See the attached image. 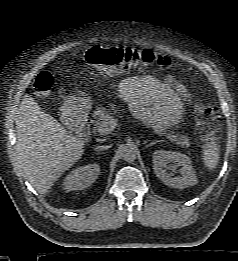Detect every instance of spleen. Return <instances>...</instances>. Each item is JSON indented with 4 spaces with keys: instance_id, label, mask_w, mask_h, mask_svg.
Here are the masks:
<instances>
[{
    "instance_id": "3e777b00",
    "label": "spleen",
    "mask_w": 238,
    "mask_h": 261,
    "mask_svg": "<svg viewBox=\"0 0 238 261\" xmlns=\"http://www.w3.org/2000/svg\"><path fill=\"white\" fill-rule=\"evenodd\" d=\"M219 155V147L215 142H211L204 147L202 159L209 170L216 168L219 162Z\"/></svg>"
}]
</instances>
